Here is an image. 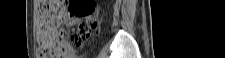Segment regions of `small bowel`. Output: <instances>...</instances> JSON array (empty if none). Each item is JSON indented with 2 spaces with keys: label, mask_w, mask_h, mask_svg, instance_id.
Returning a JSON list of instances; mask_svg holds the SVG:
<instances>
[{
  "label": "small bowel",
  "mask_w": 225,
  "mask_h": 58,
  "mask_svg": "<svg viewBox=\"0 0 225 58\" xmlns=\"http://www.w3.org/2000/svg\"><path fill=\"white\" fill-rule=\"evenodd\" d=\"M76 20L77 19H68L67 22L70 26H73L76 24ZM64 47H65V54H66L65 58H72L74 55V49L72 48V46L69 45L67 42H64Z\"/></svg>",
  "instance_id": "c3829d8e"
}]
</instances>
